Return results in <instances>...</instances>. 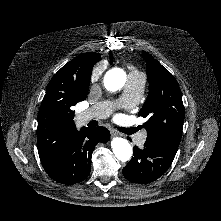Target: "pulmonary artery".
Listing matches in <instances>:
<instances>
[{
	"label": "pulmonary artery",
	"mask_w": 221,
	"mask_h": 221,
	"mask_svg": "<svg viewBox=\"0 0 221 221\" xmlns=\"http://www.w3.org/2000/svg\"><path fill=\"white\" fill-rule=\"evenodd\" d=\"M145 87L144 74L133 71L129 74L125 91L119 99L120 105H131L139 102ZM111 107L109 104H97L92 108L83 111L78 115V122L84 124L92 119H102L108 116ZM146 138V133H142L137 142L139 145L143 144Z\"/></svg>",
	"instance_id": "pulmonary-artery-1"
}]
</instances>
